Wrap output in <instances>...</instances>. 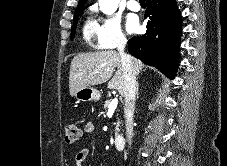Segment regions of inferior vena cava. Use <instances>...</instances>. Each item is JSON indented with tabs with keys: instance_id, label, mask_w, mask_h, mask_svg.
<instances>
[{
	"instance_id": "1",
	"label": "inferior vena cava",
	"mask_w": 227,
	"mask_h": 166,
	"mask_svg": "<svg viewBox=\"0 0 227 166\" xmlns=\"http://www.w3.org/2000/svg\"><path fill=\"white\" fill-rule=\"evenodd\" d=\"M127 40L124 37H120L117 41V50L120 55L123 77H124V112H125V124H126V137L129 145L132 143L133 137V114L135 107V95H136V72L134 70L131 57L125 53V46Z\"/></svg>"
}]
</instances>
